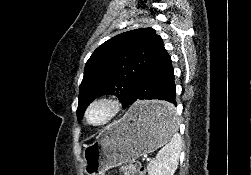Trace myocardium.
<instances>
[{
    "instance_id": "f54148a6",
    "label": "myocardium",
    "mask_w": 251,
    "mask_h": 175,
    "mask_svg": "<svg viewBox=\"0 0 251 175\" xmlns=\"http://www.w3.org/2000/svg\"><path fill=\"white\" fill-rule=\"evenodd\" d=\"M97 103H105L113 108V113L112 116L109 118V120L100 125L93 124L89 118L91 108ZM125 111H126V105L120 95L116 93H103L90 100V102L86 106L84 112V118L86 123L90 127L95 129H104L112 126L117 121H119L123 117Z\"/></svg>"
}]
</instances>
